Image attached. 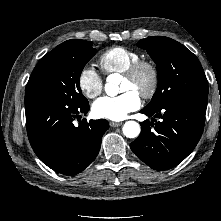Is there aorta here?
<instances>
[{"instance_id": "762f6f07", "label": "aorta", "mask_w": 221, "mask_h": 221, "mask_svg": "<svg viewBox=\"0 0 221 221\" xmlns=\"http://www.w3.org/2000/svg\"><path fill=\"white\" fill-rule=\"evenodd\" d=\"M119 74H110L105 84V92L109 96H116L119 93ZM123 134L128 138H136L139 136L141 128L136 121H127L122 128Z\"/></svg>"}]
</instances>
